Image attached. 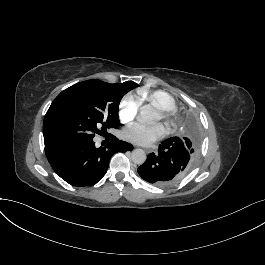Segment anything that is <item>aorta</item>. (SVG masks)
<instances>
[{
    "instance_id": "1",
    "label": "aorta",
    "mask_w": 265,
    "mask_h": 265,
    "mask_svg": "<svg viewBox=\"0 0 265 265\" xmlns=\"http://www.w3.org/2000/svg\"><path fill=\"white\" fill-rule=\"evenodd\" d=\"M138 120L142 123H151L153 120L152 108L144 106L138 115ZM131 159L135 164L141 165L146 160V153L142 149H135L131 153Z\"/></svg>"
}]
</instances>
